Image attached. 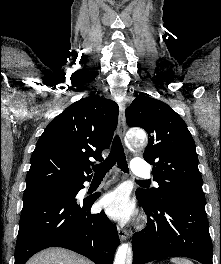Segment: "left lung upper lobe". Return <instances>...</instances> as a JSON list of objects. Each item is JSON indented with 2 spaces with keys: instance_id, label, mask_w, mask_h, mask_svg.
I'll return each mask as SVG.
<instances>
[{
  "instance_id": "obj_1",
  "label": "left lung upper lobe",
  "mask_w": 221,
  "mask_h": 264,
  "mask_svg": "<svg viewBox=\"0 0 221 264\" xmlns=\"http://www.w3.org/2000/svg\"><path fill=\"white\" fill-rule=\"evenodd\" d=\"M130 127H141L149 135L144 159L153 165L158 188L136 190L146 203L165 198L205 203L195 142L183 119L164 102L137 97L126 109Z\"/></svg>"
}]
</instances>
